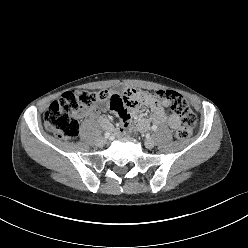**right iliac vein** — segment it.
Masks as SVG:
<instances>
[{
  "mask_svg": "<svg viewBox=\"0 0 248 248\" xmlns=\"http://www.w3.org/2000/svg\"><path fill=\"white\" fill-rule=\"evenodd\" d=\"M106 142H107L106 138L101 137V138L97 139L96 144L98 146H104L106 144Z\"/></svg>",
  "mask_w": 248,
  "mask_h": 248,
  "instance_id": "obj_1",
  "label": "right iliac vein"
}]
</instances>
